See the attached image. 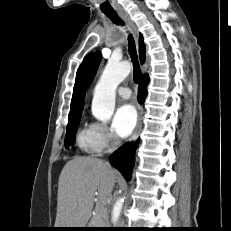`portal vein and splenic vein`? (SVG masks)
Instances as JSON below:
<instances>
[{
    "mask_svg": "<svg viewBox=\"0 0 231 231\" xmlns=\"http://www.w3.org/2000/svg\"><path fill=\"white\" fill-rule=\"evenodd\" d=\"M97 204H98V206H102V205L104 204V201H103V200H99V201L97 202Z\"/></svg>",
    "mask_w": 231,
    "mask_h": 231,
    "instance_id": "1",
    "label": "portal vein and splenic vein"
}]
</instances>
